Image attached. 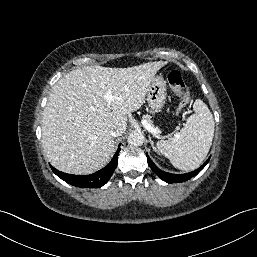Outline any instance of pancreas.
Segmentation results:
<instances>
[{"label": "pancreas", "instance_id": "obj_1", "mask_svg": "<svg viewBox=\"0 0 257 257\" xmlns=\"http://www.w3.org/2000/svg\"><path fill=\"white\" fill-rule=\"evenodd\" d=\"M149 123L152 125V121L151 120H149Z\"/></svg>", "mask_w": 257, "mask_h": 257}]
</instances>
